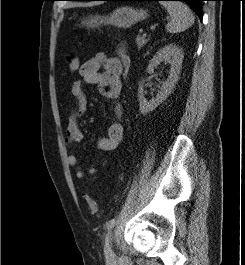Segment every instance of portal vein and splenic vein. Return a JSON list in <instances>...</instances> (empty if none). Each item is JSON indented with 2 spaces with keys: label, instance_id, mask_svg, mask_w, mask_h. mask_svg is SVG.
Returning a JSON list of instances; mask_svg holds the SVG:
<instances>
[{
  "label": "portal vein and splenic vein",
  "instance_id": "18ae733b",
  "mask_svg": "<svg viewBox=\"0 0 245 265\" xmlns=\"http://www.w3.org/2000/svg\"><path fill=\"white\" fill-rule=\"evenodd\" d=\"M147 35V33H143V36H146Z\"/></svg>",
  "mask_w": 245,
  "mask_h": 265
}]
</instances>
